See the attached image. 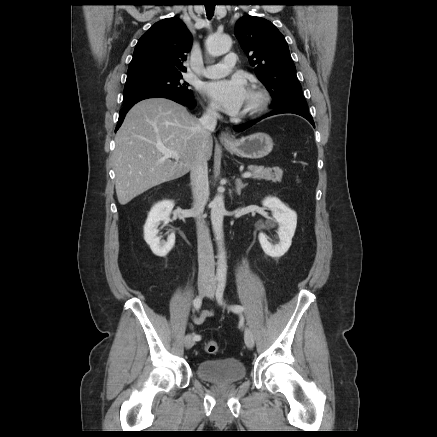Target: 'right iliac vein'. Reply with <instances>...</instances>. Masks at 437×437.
<instances>
[{"instance_id": "obj_1", "label": "right iliac vein", "mask_w": 437, "mask_h": 437, "mask_svg": "<svg viewBox=\"0 0 437 437\" xmlns=\"http://www.w3.org/2000/svg\"><path fill=\"white\" fill-rule=\"evenodd\" d=\"M208 291H209V286H208V284H206V283H201V284L199 285V293H200L201 295H205V294H207ZM184 344H185V347H186L187 349H190V348L193 347V345L195 344V340H194V336H193V334H188V335L185 337Z\"/></svg>"}]
</instances>
